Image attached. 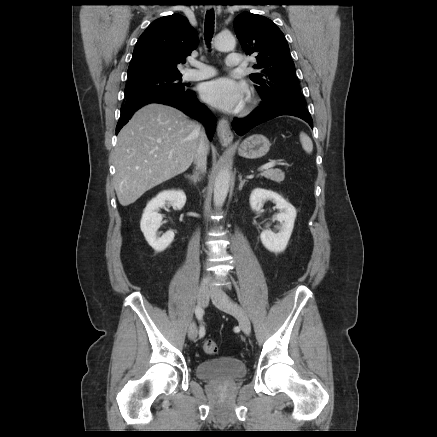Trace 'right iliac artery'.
I'll return each instance as SVG.
<instances>
[{
  "label": "right iliac artery",
  "mask_w": 437,
  "mask_h": 437,
  "mask_svg": "<svg viewBox=\"0 0 437 437\" xmlns=\"http://www.w3.org/2000/svg\"><path fill=\"white\" fill-rule=\"evenodd\" d=\"M203 314H204L203 309H202L200 306H197L196 309H195V315H196V318H197L199 321L202 320V318H203ZM204 335H205V328H204L203 325H201V326H200V330H199V336H200V337H203Z\"/></svg>",
  "instance_id": "obj_1"
}]
</instances>
